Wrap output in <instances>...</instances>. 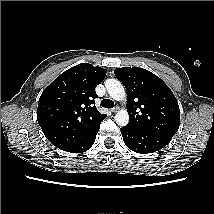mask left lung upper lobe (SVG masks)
Here are the masks:
<instances>
[{"instance_id": "left-lung-upper-lobe-1", "label": "left lung upper lobe", "mask_w": 214, "mask_h": 214, "mask_svg": "<svg viewBox=\"0 0 214 214\" xmlns=\"http://www.w3.org/2000/svg\"><path fill=\"white\" fill-rule=\"evenodd\" d=\"M128 93V127L172 138L180 124L178 102L165 82L140 67L114 71Z\"/></svg>"}]
</instances>
